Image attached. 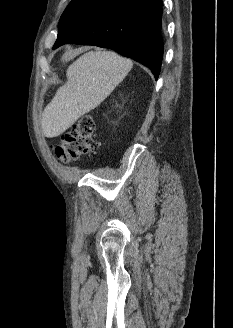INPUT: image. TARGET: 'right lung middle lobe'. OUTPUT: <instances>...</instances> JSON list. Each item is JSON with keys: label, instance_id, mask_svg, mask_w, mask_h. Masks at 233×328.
I'll use <instances>...</instances> for the list:
<instances>
[{"label": "right lung middle lobe", "instance_id": "right-lung-middle-lobe-1", "mask_svg": "<svg viewBox=\"0 0 233 328\" xmlns=\"http://www.w3.org/2000/svg\"><path fill=\"white\" fill-rule=\"evenodd\" d=\"M93 0H72L67 9L62 14L60 20L72 14L73 12L83 8Z\"/></svg>", "mask_w": 233, "mask_h": 328}]
</instances>
